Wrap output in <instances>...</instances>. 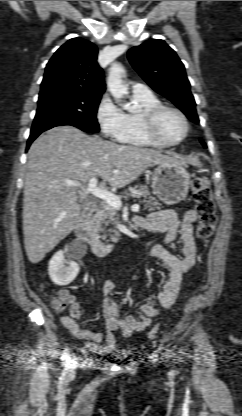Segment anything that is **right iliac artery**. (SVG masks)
<instances>
[{
    "mask_svg": "<svg viewBox=\"0 0 242 416\" xmlns=\"http://www.w3.org/2000/svg\"><path fill=\"white\" fill-rule=\"evenodd\" d=\"M69 356H70V350H69V348H66V349L63 351L62 355H61V362H62V365H64V366H68Z\"/></svg>",
    "mask_w": 242,
    "mask_h": 416,
    "instance_id": "right-iliac-artery-1",
    "label": "right iliac artery"
}]
</instances>
